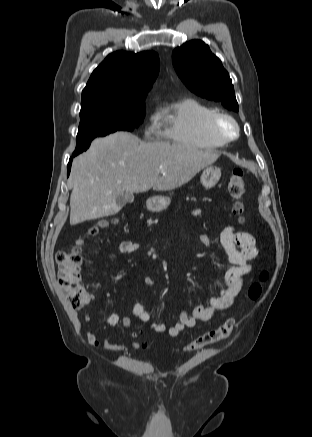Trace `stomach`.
I'll list each match as a JSON object with an SVG mask.
<instances>
[{"label":"stomach","instance_id":"0dacf381","mask_svg":"<svg viewBox=\"0 0 312 437\" xmlns=\"http://www.w3.org/2000/svg\"><path fill=\"white\" fill-rule=\"evenodd\" d=\"M221 177V170L216 166H207L200 177L202 185L206 189L214 187ZM171 203V199L166 196H154L147 200V208L152 212L166 210Z\"/></svg>","mask_w":312,"mask_h":437}]
</instances>
